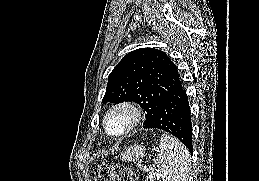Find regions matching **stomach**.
Instances as JSON below:
<instances>
[{"mask_svg":"<svg viewBox=\"0 0 259 181\" xmlns=\"http://www.w3.org/2000/svg\"><path fill=\"white\" fill-rule=\"evenodd\" d=\"M145 153V149L140 145H133L126 149L122 153V160L124 161H134L140 159Z\"/></svg>","mask_w":259,"mask_h":181,"instance_id":"1","label":"stomach"}]
</instances>
